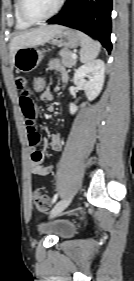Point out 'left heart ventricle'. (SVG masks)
Returning <instances> with one entry per match:
<instances>
[{"label": "left heart ventricle", "mask_w": 134, "mask_h": 281, "mask_svg": "<svg viewBox=\"0 0 134 281\" xmlns=\"http://www.w3.org/2000/svg\"><path fill=\"white\" fill-rule=\"evenodd\" d=\"M59 0H25V9L33 17H44L51 13Z\"/></svg>", "instance_id": "1"}]
</instances>
